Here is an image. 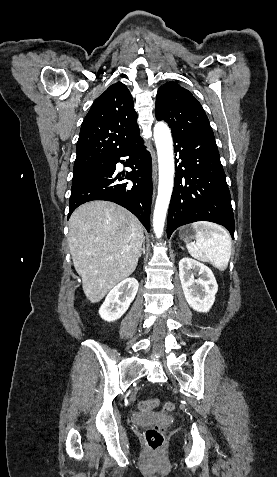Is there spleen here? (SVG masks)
<instances>
[{
  "label": "spleen",
  "mask_w": 277,
  "mask_h": 477,
  "mask_svg": "<svg viewBox=\"0 0 277 477\" xmlns=\"http://www.w3.org/2000/svg\"><path fill=\"white\" fill-rule=\"evenodd\" d=\"M195 243L186 241L189 254L203 262L211 263L220 271L226 270L231 256V237L221 226L211 222H195Z\"/></svg>",
  "instance_id": "obj_1"
}]
</instances>
